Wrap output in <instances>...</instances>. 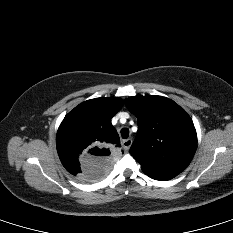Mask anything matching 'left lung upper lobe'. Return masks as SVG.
Returning <instances> with one entry per match:
<instances>
[{"label":"left lung upper lobe","mask_w":233,"mask_h":233,"mask_svg":"<svg viewBox=\"0 0 233 233\" xmlns=\"http://www.w3.org/2000/svg\"><path fill=\"white\" fill-rule=\"evenodd\" d=\"M124 102L138 119L130 153L143 172L178 175L186 169L197 147L196 130L189 115L162 96H134Z\"/></svg>","instance_id":"1"}]
</instances>
